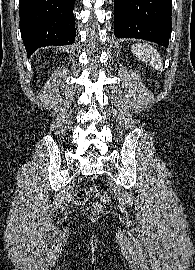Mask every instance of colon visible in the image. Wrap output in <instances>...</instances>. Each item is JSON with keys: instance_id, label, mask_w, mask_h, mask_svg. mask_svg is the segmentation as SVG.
I'll return each instance as SVG.
<instances>
[{"instance_id": "5ec220e1", "label": "colon", "mask_w": 195, "mask_h": 270, "mask_svg": "<svg viewBox=\"0 0 195 270\" xmlns=\"http://www.w3.org/2000/svg\"><path fill=\"white\" fill-rule=\"evenodd\" d=\"M97 195L100 197L101 203L95 202L91 205V211L94 214H98L102 211V204H106L110 201L108 194L100 192L97 187H91L89 190L80 189L74 194V203L77 205L84 204L90 195Z\"/></svg>"}]
</instances>
